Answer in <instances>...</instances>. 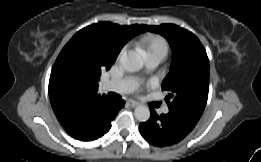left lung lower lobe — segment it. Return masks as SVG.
I'll return each instance as SVG.
<instances>
[{"label":"left lung lower lobe","instance_id":"1","mask_svg":"<svg viewBox=\"0 0 261 162\" xmlns=\"http://www.w3.org/2000/svg\"><path fill=\"white\" fill-rule=\"evenodd\" d=\"M150 111V119L139 125V131L146 141L157 147L178 143L193 130L199 120L182 109H169V113L161 115L153 108Z\"/></svg>","mask_w":261,"mask_h":162}]
</instances>
